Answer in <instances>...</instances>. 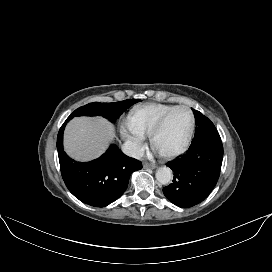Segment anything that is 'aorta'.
Instances as JSON below:
<instances>
[{
  "mask_svg": "<svg viewBox=\"0 0 272 272\" xmlns=\"http://www.w3.org/2000/svg\"><path fill=\"white\" fill-rule=\"evenodd\" d=\"M156 179L159 183L163 185H167L171 182L172 180V171L168 167H160L156 170L155 173Z\"/></svg>",
  "mask_w": 272,
  "mask_h": 272,
  "instance_id": "obj_1",
  "label": "aorta"
}]
</instances>
